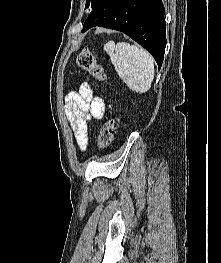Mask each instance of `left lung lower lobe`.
<instances>
[{
	"label": "left lung lower lobe",
	"mask_w": 221,
	"mask_h": 263,
	"mask_svg": "<svg viewBox=\"0 0 221 263\" xmlns=\"http://www.w3.org/2000/svg\"><path fill=\"white\" fill-rule=\"evenodd\" d=\"M164 13L161 0H102L82 32L94 26L122 31L147 49L161 68L166 47Z\"/></svg>",
	"instance_id": "1"
}]
</instances>
